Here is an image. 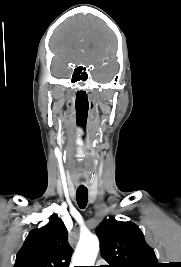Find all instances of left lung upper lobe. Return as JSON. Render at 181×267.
Masks as SVG:
<instances>
[{"mask_svg": "<svg viewBox=\"0 0 181 267\" xmlns=\"http://www.w3.org/2000/svg\"><path fill=\"white\" fill-rule=\"evenodd\" d=\"M96 233L108 267H160L153 249L134 223L106 219L99 224Z\"/></svg>", "mask_w": 181, "mask_h": 267, "instance_id": "1", "label": "left lung upper lobe"}]
</instances>
